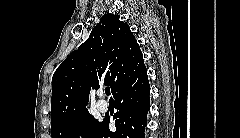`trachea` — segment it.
<instances>
[{
    "label": "trachea",
    "mask_w": 240,
    "mask_h": 138,
    "mask_svg": "<svg viewBox=\"0 0 240 138\" xmlns=\"http://www.w3.org/2000/svg\"><path fill=\"white\" fill-rule=\"evenodd\" d=\"M105 93H106V95H110V88L109 87H107V88H105Z\"/></svg>",
    "instance_id": "trachea-1"
}]
</instances>
